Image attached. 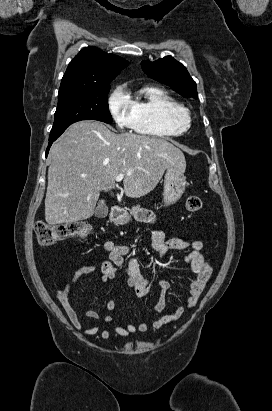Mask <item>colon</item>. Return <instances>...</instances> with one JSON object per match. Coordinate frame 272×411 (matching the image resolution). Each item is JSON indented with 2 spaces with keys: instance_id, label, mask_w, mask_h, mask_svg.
I'll return each instance as SVG.
<instances>
[{
  "instance_id": "1",
  "label": "colon",
  "mask_w": 272,
  "mask_h": 411,
  "mask_svg": "<svg viewBox=\"0 0 272 411\" xmlns=\"http://www.w3.org/2000/svg\"><path fill=\"white\" fill-rule=\"evenodd\" d=\"M186 210L197 212L202 208V200L199 196L192 195L186 199ZM90 227L85 222L74 221L61 224H48L38 221L35 226V235L38 243L42 246H51L54 243L70 237H86ZM65 294V289L60 291V297Z\"/></svg>"
}]
</instances>
